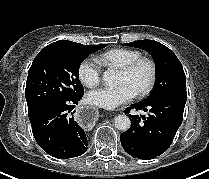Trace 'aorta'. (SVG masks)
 <instances>
[{"label": "aorta", "mask_w": 209, "mask_h": 179, "mask_svg": "<svg viewBox=\"0 0 209 179\" xmlns=\"http://www.w3.org/2000/svg\"><path fill=\"white\" fill-rule=\"evenodd\" d=\"M102 80L107 86H114L117 83L116 73L112 70H107L104 72ZM114 125L117 129L126 131L130 128L131 121L128 116L122 114L114 118Z\"/></svg>", "instance_id": "1"}]
</instances>
